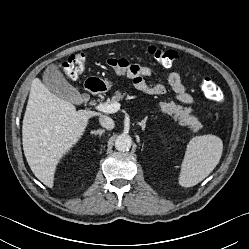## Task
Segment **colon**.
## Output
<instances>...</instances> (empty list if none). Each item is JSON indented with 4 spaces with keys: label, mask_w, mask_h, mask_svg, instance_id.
Listing matches in <instances>:
<instances>
[{
    "label": "colon",
    "mask_w": 249,
    "mask_h": 249,
    "mask_svg": "<svg viewBox=\"0 0 249 249\" xmlns=\"http://www.w3.org/2000/svg\"><path fill=\"white\" fill-rule=\"evenodd\" d=\"M148 55L164 66H173L178 63L180 57L174 50L160 49L155 46L148 48ZM107 64L116 71H124L128 62L125 59H109ZM63 74L69 79H77L85 70V55L74 53L59 65ZM201 88L205 97L213 102L221 100V91L211 77H203Z\"/></svg>",
    "instance_id": "1"
}]
</instances>
